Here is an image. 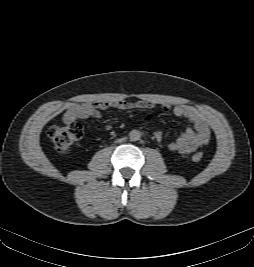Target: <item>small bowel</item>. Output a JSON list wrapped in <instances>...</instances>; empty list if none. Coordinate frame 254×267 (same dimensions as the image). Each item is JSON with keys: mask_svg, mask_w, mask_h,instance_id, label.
<instances>
[{"mask_svg": "<svg viewBox=\"0 0 254 267\" xmlns=\"http://www.w3.org/2000/svg\"><path fill=\"white\" fill-rule=\"evenodd\" d=\"M156 106L153 101L139 100L130 102L124 99H118L113 101H99V102H86V103H71L67 106L63 115V121L66 124L76 123L80 119L87 117L99 118L104 110L109 108H116L120 110H140V109H152ZM161 110L163 112L172 111L177 117L188 120L191 124V128H186L185 131L174 141L169 144L171 151L179 152L181 154H191L202 146L206 145L211 136L210 128L203 115L195 108L186 105H177L171 107L170 105H162ZM152 120V115H147L141 120L142 123H147ZM110 127L108 126L107 129ZM156 140L162 139V134L159 131L154 132Z\"/></svg>", "mask_w": 254, "mask_h": 267, "instance_id": "1", "label": "small bowel"}]
</instances>
